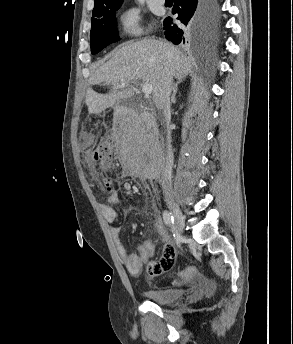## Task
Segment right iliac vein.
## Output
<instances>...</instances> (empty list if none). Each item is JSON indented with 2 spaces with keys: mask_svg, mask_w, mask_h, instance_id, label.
Here are the masks:
<instances>
[{
  "mask_svg": "<svg viewBox=\"0 0 293 344\" xmlns=\"http://www.w3.org/2000/svg\"><path fill=\"white\" fill-rule=\"evenodd\" d=\"M168 207L174 216L175 225L178 231L183 232L185 227V220L182 211L173 201L168 202Z\"/></svg>",
  "mask_w": 293,
  "mask_h": 344,
  "instance_id": "63e3f726",
  "label": "right iliac vein"
}]
</instances>
